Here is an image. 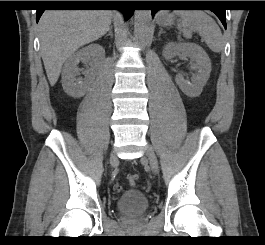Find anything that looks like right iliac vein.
Listing matches in <instances>:
<instances>
[{
  "label": "right iliac vein",
  "instance_id": "obj_1",
  "mask_svg": "<svg viewBox=\"0 0 265 245\" xmlns=\"http://www.w3.org/2000/svg\"><path fill=\"white\" fill-rule=\"evenodd\" d=\"M117 160V157L115 155H111L110 161L115 162Z\"/></svg>",
  "mask_w": 265,
  "mask_h": 245
}]
</instances>
